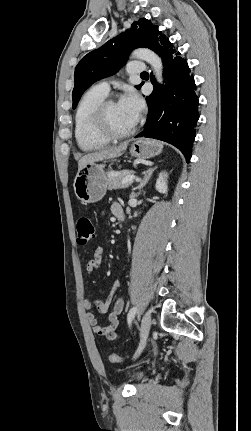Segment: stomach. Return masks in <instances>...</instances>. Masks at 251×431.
I'll return each instance as SVG.
<instances>
[{
	"label": "stomach",
	"instance_id": "obj_1",
	"mask_svg": "<svg viewBox=\"0 0 251 431\" xmlns=\"http://www.w3.org/2000/svg\"><path fill=\"white\" fill-rule=\"evenodd\" d=\"M163 145L146 139L135 140L130 147V154L138 159H149L159 155ZM74 192L78 200L89 204L101 200L107 190V173L104 165L88 163L80 169L74 179Z\"/></svg>",
	"mask_w": 251,
	"mask_h": 431
}]
</instances>
